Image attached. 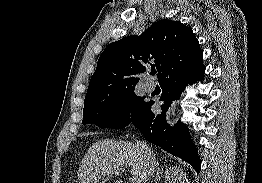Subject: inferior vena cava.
<instances>
[{
	"mask_svg": "<svg viewBox=\"0 0 262 183\" xmlns=\"http://www.w3.org/2000/svg\"><path fill=\"white\" fill-rule=\"evenodd\" d=\"M139 148L141 149L142 155L145 161V169L147 179L149 180L151 176H153L156 169V159L155 155L151 151V149L147 146V144L139 142L137 143Z\"/></svg>",
	"mask_w": 262,
	"mask_h": 183,
	"instance_id": "1",
	"label": "inferior vena cava"
}]
</instances>
